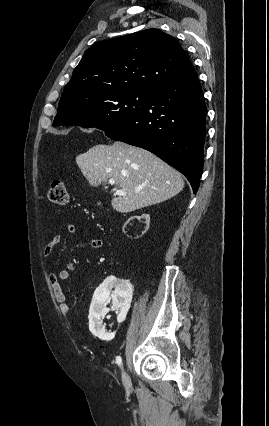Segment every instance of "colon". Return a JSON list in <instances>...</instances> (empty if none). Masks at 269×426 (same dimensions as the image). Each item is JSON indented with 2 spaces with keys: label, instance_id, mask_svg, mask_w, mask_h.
<instances>
[{
  "label": "colon",
  "instance_id": "1",
  "mask_svg": "<svg viewBox=\"0 0 269 426\" xmlns=\"http://www.w3.org/2000/svg\"><path fill=\"white\" fill-rule=\"evenodd\" d=\"M49 199L52 203L65 206L68 202V192L64 182L54 181L49 190Z\"/></svg>",
  "mask_w": 269,
  "mask_h": 426
}]
</instances>
